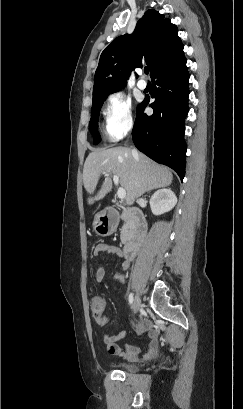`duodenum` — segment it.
Instances as JSON below:
<instances>
[{
    "label": "duodenum",
    "instance_id": "1",
    "mask_svg": "<svg viewBox=\"0 0 243 409\" xmlns=\"http://www.w3.org/2000/svg\"><path fill=\"white\" fill-rule=\"evenodd\" d=\"M111 215L115 214V209L109 207ZM130 218L134 221V227L131 231L129 241L123 248L125 258L133 259L139 252L142 241L147 233V223L144 215L139 210H131Z\"/></svg>",
    "mask_w": 243,
    "mask_h": 409
}]
</instances>
